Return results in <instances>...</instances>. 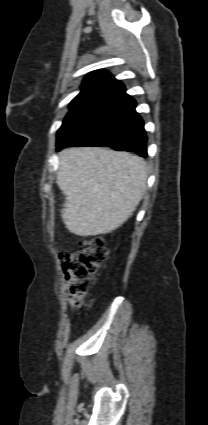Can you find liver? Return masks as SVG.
<instances>
[{"instance_id": "1", "label": "liver", "mask_w": 208, "mask_h": 425, "mask_svg": "<svg viewBox=\"0 0 208 425\" xmlns=\"http://www.w3.org/2000/svg\"><path fill=\"white\" fill-rule=\"evenodd\" d=\"M148 173L143 158L99 147L59 153L57 184L66 196L62 219L77 236L108 234L131 217Z\"/></svg>"}]
</instances>
